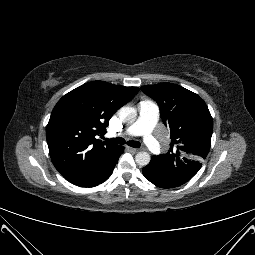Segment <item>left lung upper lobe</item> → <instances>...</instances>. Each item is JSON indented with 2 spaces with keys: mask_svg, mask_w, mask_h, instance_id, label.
<instances>
[{
  "mask_svg": "<svg viewBox=\"0 0 255 255\" xmlns=\"http://www.w3.org/2000/svg\"><path fill=\"white\" fill-rule=\"evenodd\" d=\"M156 100L170 129V150L150 163L179 179L190 180L201 168L211 143L213 120L205 102L195 93L172 83L141 87Z\"/></svg>",
  "mask_w": 255,
  "mask_h": 255,
  "instance_id": "left-lung-upper-lobe-1",
  "label": "left lung upper lobe"
}]
</instances>
